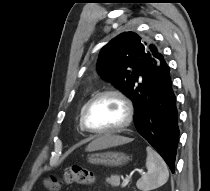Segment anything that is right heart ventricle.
<instances>
[{
    "mask_svg": "<svg viewBox=\"0 0 210 191\" xmlns=\"http://www.w3.org/2000/svg\"><path fill=\"white\" fill-rule=\"evenodd\" d=\"M84 106H85V104L82 106V108H81V110H80V116H81V113H82V110H83ZM80 116H79V128H80L81 130H83L82 127H81V123H80Z\"/></svg>",
    "mask_w": 210,
    "mask_h": 191,
    "instance_id": "1",
    "label": "right heart ventricle"
}]
</instances>
